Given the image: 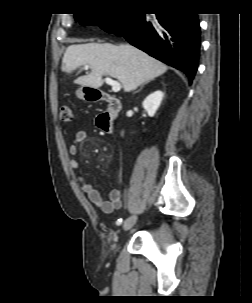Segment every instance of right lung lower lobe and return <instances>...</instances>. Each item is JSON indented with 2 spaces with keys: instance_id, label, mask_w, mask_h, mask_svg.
Returning <instances> with one entry per match:
<instances>
[{
  "instance_id": "98d812e1",
  "label": "right lung lower lobe",
  "mask_w": 252,
  "mask_h": 303,
  "mask_svg": "<svg viewBox=\"0 0 252 303\" xmlns=\"http://www.w3.org/2000/svg\"><path fill=\"white\" fill-rule=\"evenodd\" d=\"M102 29L183 71L192 82L201 43L197 14L167 10L148 19L143 13H132Z\"/></svg>"
}]
</instances>
